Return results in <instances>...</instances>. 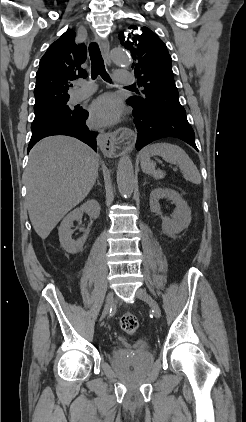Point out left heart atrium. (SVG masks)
Masks as SVG:
<instances>
[{
  "label": "left heart atrium",
  "instance_id": "obj_1",
  "mask_svg": "<svg viewBox=\"0 0 246 422\" xmlns=\"http://www.w3.org/2000/svg\"><path fill=\"white\" fill-rule=\"evenodd\" d=\"M90 116L92 123L96 126L117 122L121 116L119 100L112 94L101 95L92 103Z\"/></svg>",
  "mask_w": 246,
  "mask_h": 422
}]
</instances>
